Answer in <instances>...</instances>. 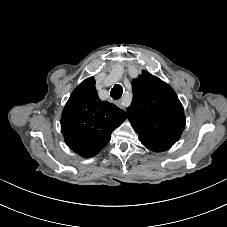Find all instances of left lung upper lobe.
<instances>
[{"label":"left lung upper lobe","instance_id":"5c2ea615","mask_svg":"<svg viewBox=\"0 0 227 227\" xmlns=\"http://www.w3.org/2000/svg\"><path fill=\"white\" fill-rule=\"evenodd\" d=\"M133 99L127 117L135 131L144 130L176 143L185 127L184 109L174 90L159 78L142 71L132 80Z\"/></svg>","mask_w":227,"mask_h":227}]
</instances>
